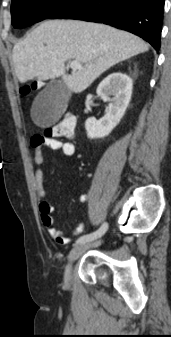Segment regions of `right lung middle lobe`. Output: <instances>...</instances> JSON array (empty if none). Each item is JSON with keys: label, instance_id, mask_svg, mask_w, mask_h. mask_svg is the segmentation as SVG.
<instances>
[{"label": "right lung middle lobe", "instance_id": "right-lung-middle-lobe-1", "mask_svg": "<svg viewBox=\"0 0 171 337\" xmlns=\"http://www.w3.org/2000/svg\"><path fill=\"white\" fill-rule=\"evenodd\" d=\"M72 0H12L11 15L14 28L42 21Z\"/></svg>", "mask_w": 171, "mask_h": 337}]
</instances>
